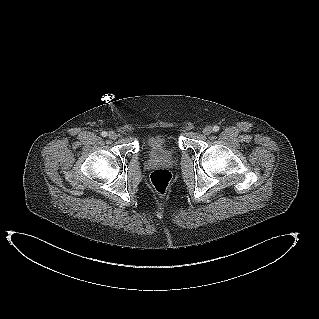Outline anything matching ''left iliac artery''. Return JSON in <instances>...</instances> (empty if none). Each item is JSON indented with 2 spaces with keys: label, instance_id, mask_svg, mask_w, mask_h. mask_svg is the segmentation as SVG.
<instances>
[{
  "label": "left iliac artery",
  "instance_id": "left-iliac-artery-1",
  "mask_svg": "<svg viewBox=\"0 0 319 319\" xmlns=\"http://www.w3.org/2000/svg\"><path fill=\"white\" fill-rule=\"evenodd\" d=\"M213 131H215V132L219 131V126L215 125V126L213 127Z\"/></svg>",
  "mask_w": 319,
  "mask_h": 319
}]
</instances>
